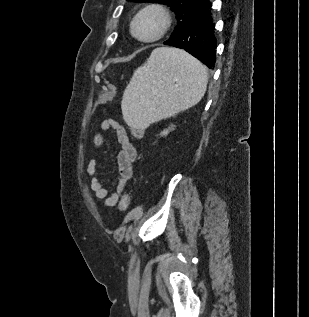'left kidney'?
Instances as JSON below:
<instances>
[{"label": "left kidney", "mask_w": 309, "mask_h": 317, "mask_svg": "<svg viewBox=\"0 0 309 317\" xmlns=\"http://www.w3.org/2000/svg\"><path fill=\"white\" fill-rule=\"evenodd\" d=\"M168 133H169V130H164V131L161 133V135H162V136H166V135H168Z\"/></svg>", "instance_id": "obj_1"}]
</instances>
